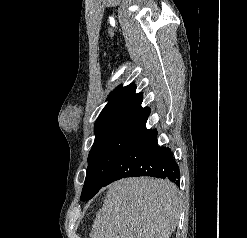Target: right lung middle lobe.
I'll use <instances>...</instances> for the list:
<instances>
[{
    "mask_svg": "<svg viewBox=\"0 0 247 238\" xmlns=\"http://www.w3.org/2000/svg\"><path fill=\"white\" fill-rule=\"evenodd\" d=\"M145 124L144 120L121 121L96 132L81 194L83 201L91 199L104 186L112 168L144 129Z\"/></svg>",
    "mask_w": 247,
    "mask_h": 238,
    "instance_id": "dd1d6c3e",
    "label": "right lung middle lobe"
}]
</instances>
